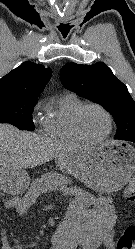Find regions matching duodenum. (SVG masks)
<instances>
[{"instance_id":"1","label":"duodenum","mask_w":135,"mask_h":249,"mask_svg":"<svg viewBox=\"0 0 135 249\" xmlns=\"http://www.w3.org/2000/svg\"><path fill=\"white\" fill-rule=\"evenodd\" d=\"M91 243L87 234L73 235L62 243L63 249H91Z\"/></svg>"}]
</instances>
